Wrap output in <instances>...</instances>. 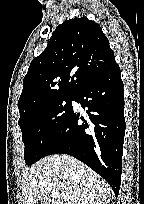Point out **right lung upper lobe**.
I'll return each instance as SVG.
<instances>
[{"instance_id": "right-lung-upper-lobe-1", "label": "right lung upper lobe", "mask_w": 144, "mask_h": 204, "mask_svg": "<svg viewBox=\"0 0 144 204\" xmlns=\"http://www.w3.org/2000/svg\"><path fill=\"white\" fill-rule=\"evenodd\" d=\"M114 61L96 22L86 17L66 20L29 66L18 101L20 116L55 97L76 95Z\"/></svg>"}]
</instances>
